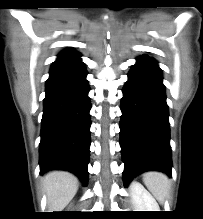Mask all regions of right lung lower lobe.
<instances>
[{"label": "right lung lower lobe", "mask_w": 203, "mask_h": 219, "mask_svg": "<svg viewBox=\"0 0 203 219\" xmlns=\"http://www.w3.org/2000/svg\"><path fill=\"white\" fill-rule=\"evenodd\" d=\"M49 74L40 134V172L67 170L86 186L91 143L87 71L76 57L56 60Z\"/></svg>", "instance_id": "98d812e1"}]
</instances>
